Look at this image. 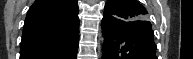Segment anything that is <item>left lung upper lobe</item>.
I'll return each mask as SVG.
<instances>
[{
  "instance_id": "obj_1",
  "label": "left lung upper lobe",
  "mask_w": 193,
  "mask_h": 59,
  "mask_svg": "<svg viewBox=\"0 0 193 59\" xmlns=\"http://www.w3.org/2000/svg\"><path fill=\"white\" fill-rule=\"evenodd\" d=\"M104 14L134 24L147 21L148 12L137 0H108Z\"/></svg>"
}]
</instances>
